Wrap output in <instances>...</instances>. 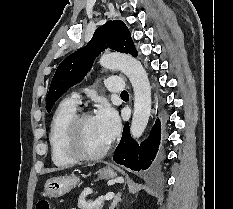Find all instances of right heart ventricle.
Returning a JSON list of instances; mask_svg holds the SVG:
<instances>
[{
  "label": "right heart ventricle",
  "instance_id": "obj_1",
  "mask_svg": "<svg viewBox=\"0 0 233 209\" xmlns=\"http://www.w3.org/2000/svg\"><path fill=\"white\" fill-rule=\"evenodd\" d=\"M76 112V106L65 100L53 115L49 130V145L52 162L57 167L65 168L76 163V160L67 154L64 146L66 127Z\"/></svg>",
  "mask_w": 233,
  "mask_h": 209
}]
</instances>
